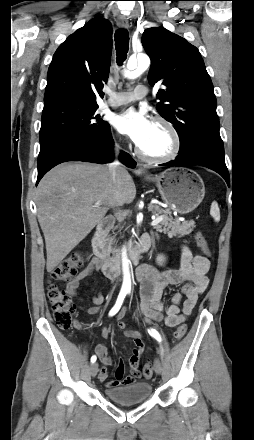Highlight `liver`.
<instances>
[{
    "label": "liver",
    "mask_w": 254,
    "mask_h": 440,
    "mask_svg": "<svg viewBox=\"0 0 254 440\" xmlns=\"http://www.w3.org/2000/svg\"><path fill=\"white\" fill-rule=\"evenodd\" d=\"M136 187L121 167L115 179L107 165L64 163L40 181L37 216L43 231L51 272L104 218L110 207L130 204ZM96 202L101 205L94 206Z\"/></svg>",
    "instance_id": "1"
}]
</instances>
